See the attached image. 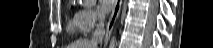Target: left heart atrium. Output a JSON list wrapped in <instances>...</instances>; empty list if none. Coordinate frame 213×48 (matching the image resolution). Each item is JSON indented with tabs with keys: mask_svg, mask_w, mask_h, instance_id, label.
Returning a JSON list of instances; mask_svg holds the SVG:
<instances>
[{
	"mask_svg": "<svg viewBox=\"0 0 213 48\" xmlns=\"http://www.w3.org/2000/svg\"><path fill=\"white\" fill-rule=\"evenodd\" d=\"M114 4V0H101L99 3V10L102 14H106L113 8Z\"/></svg>",
	"mask_w": 213,
	"mask_h": 48,
	"instance_id": "39dd6f15",
	"label": "left heart atrium"
}]
</instances>
